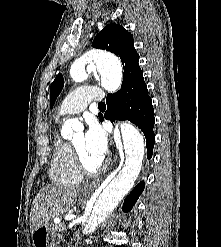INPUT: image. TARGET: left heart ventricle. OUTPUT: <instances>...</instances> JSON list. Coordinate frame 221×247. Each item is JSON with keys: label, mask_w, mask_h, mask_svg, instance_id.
<instances>
[{"label": "left heart ventricle", "mask_w": 221, "mask_h": 247, "mask_svg": "<svg viewBox=\"0 0 221 247\" xmlns=\"http://www.w3.org/2000/svg\"><path fill=\"white\" fill-rule=\"evenodd\" d=\"M73 144L77 148L78 152L82 156L83 160L85 161L86 165L90 168L95 167L100 162L101 158L94 156L91 154L86 146H85V139L83 133H77L72 140Z\"/></svg>", "instance_id": "b2bd125f"}]
</instances>
